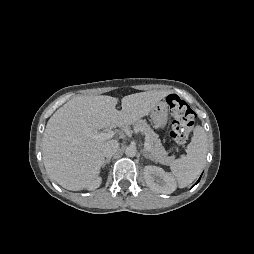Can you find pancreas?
<instances>
[{"mask_svg":"<svg viewBox=\"0 0 254 254\" xmlns=\"http://www.w3.org/2000/svg\"><path fill=\"white\" fill-rule=\"evenodd\" d=\"M133 129L145 135L146 141L149 143L148 151L156 162L168 165L174 160V156H168V153L162 146L158 135L151 129L146 121H136L133 124Z\"/></svg>","mask_w":254,"mask_h":254,"instance_id":"cf45deb5","label":"pancreas"}]
</instances>
